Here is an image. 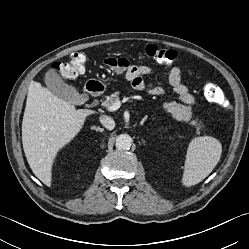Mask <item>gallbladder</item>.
<instances>
[{"label":"gallbladder","instance_id":"gallbladder-1","mask_svg":"<svg viewBox=\"0 0 249 249\" xmlns=\"http://www.w3.org/2000/svg\"><path fill=\"white\" fill-rule=\"evenodd\" d=\"M44 81L48 89L56 96L75 105H81L84 102L83 96L73 86L65 83L55 69L47 70Z\"/></svg>","mask_w":249,"mask_h":249}]
</instances>
